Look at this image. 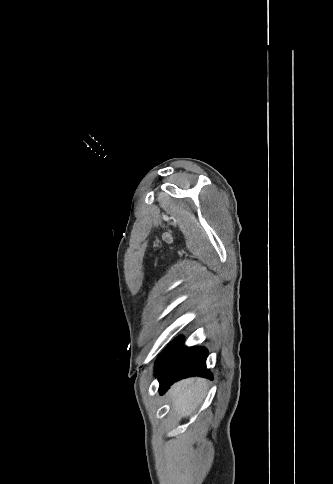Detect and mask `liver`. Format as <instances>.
Returning a JSON list of instances; mask_svg holds the SVG:
<instances>
[{
  "mask_svg": "<svg viewBox=\"0 0 333 484\" xmlns=\"http://www.w3.org/2000/svg\"><path fill=\"white\" fill-rule=\"evenodd\" d=\"M207 382L203 378H188L174 384L168 397L179 418L190 416L205 397Z\"/></svg>",
  "mask_w": 333,
  "mask_h": 484,
  "instance_id": "1",
  "label": "liver"
}]
</instances>
